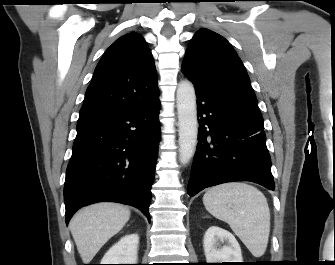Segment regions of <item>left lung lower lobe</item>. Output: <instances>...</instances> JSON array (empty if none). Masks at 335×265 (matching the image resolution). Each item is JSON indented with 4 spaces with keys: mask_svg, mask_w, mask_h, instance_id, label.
I'll use <instances>...</instances> for the list:
<instances>
[{
    "mask_svg": "<svg viewBox=\"0 0 335 265\" xmlns=\"http://www.w3.org/2000/svg\"><path fill=\"white\" fill-rule=\"evenodd\" d=\"M200 126L188 194L231 181L274 190L261 114L195 87Z\"/></svg>",
    "mask_w": 335,
    "mask_h": 265,
    "instance_id": "left-lung-lower-lobe-1",
    "label": "left lung lower lobe"
}]
</instances>
